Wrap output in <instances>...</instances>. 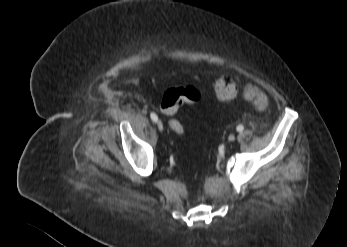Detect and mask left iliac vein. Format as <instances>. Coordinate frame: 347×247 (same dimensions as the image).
Returning <instances> with one entry per match:
<instances>
[{"instance_id":"left-iliac-vein-1","label":"left iliac vein","mask_w":347,"mask_h":247,"mask_svg":"<svg viewBox=\"0 0 347 247\" xmlns=\"http://www.w3.org/2000/svg\"><path fill=\"white\" fill-rule=\"evenodd\" d=\"M228 140L233 142L235 140V136L233 134L229 135Z\"/></svg>"}]
</instances>
